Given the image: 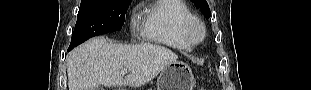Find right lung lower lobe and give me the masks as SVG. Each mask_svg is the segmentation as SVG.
I'll use <instances>...</instances> for the list:
<instances>
[{
  "label": "right lung lower lobe",
  "mask_w": 311,
  "mask_h": 90,
  "mask_svg": "<svg viewBox=\"0 0 311 90\" xmlns=\"http://www.w3.org/2000/svg\"><path fill=\"white\" fill-rule=\"evenodd\" d=\"M72 49V47H69V50H71Z\"/></svg>",
  "instance_id": "right-lung-lower-lobe-1"
}]
</instances>
